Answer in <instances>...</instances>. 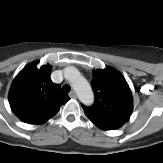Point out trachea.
Segmentation results:
<instances>
[{
	"instance_id": "trachea-1",
	"label": "trachea",
	"mask_w": 163,
	"mask_h": 163,
	"mask_svg": "<svg viewBox=\"0 0 163 163\" xmlns=\"http://www.w3.org/2000/svg\"><path fill=\"white\" fill-rule=\"evenodd\" d=\"M70 90H71V88H70L69 85H64V86L62 87V91H63V92L69 93Z\"/></svg>"
}]
</instances>
